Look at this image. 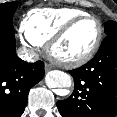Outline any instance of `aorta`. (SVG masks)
<instances>
[{
    "label": "aorta",
    "mask_w": 117,
    "mask_h": 117,
    "mask_svg": "<svg viewBox=\"0 0 117 117\" xmlns=\"http://www.w3.org/2000/svg\"><path fill=\"white\" fill-rule=\"evenodd\" d=\"M45 82L49 88H55L63 91V89H66L72 85V78L63 71L52 70L47 73Z\"/></svg>",
    "instance_id": "1"
}]
</instances>
